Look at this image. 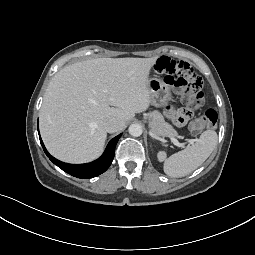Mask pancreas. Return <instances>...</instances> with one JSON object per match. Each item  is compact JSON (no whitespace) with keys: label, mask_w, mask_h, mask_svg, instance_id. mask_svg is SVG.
I'll return each mask as SVG.
<instances>
[{"label":"pancreas","mask_w":255,"mask_h":255,"mask_svg":"<svg viewBox=\"0 0 255 255\" xmlns=\"http://www.w3.org/2000/svg\"><path fill=\"white\" fill-rule=\"evenodd\" d=\"M149 126L155 135L179 137L177 131L172 125L164 120L163 115L158 111H153L148 114Z\"/></svg>","instance_id":"1"}]
</instances>
